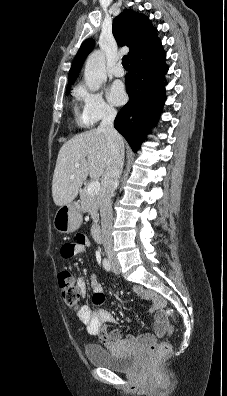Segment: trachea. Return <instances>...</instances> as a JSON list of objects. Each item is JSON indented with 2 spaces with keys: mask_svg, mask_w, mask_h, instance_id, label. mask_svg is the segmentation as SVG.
<instances>
[{
  "mask_svg": "<svg viewBox=\"0 0 227 396\" xmlns=\"http://www.w3.org/2000/svg\"><path fill=\"white\" fill-rule=\"evenodd\" d=\"M122 65H123L124 68H128L129 67V58H128V56H124L122 58Z\"/></svg>",
  "mask_w": 227,
  "mask_h": 396,
  "instance_id": "3493384b",
  "label": "trachea"
}]
</instances>
